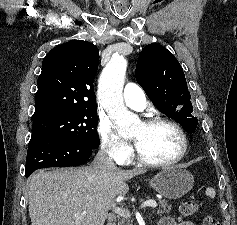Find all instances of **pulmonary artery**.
Instances as JSON below:
<instances>
[{"mask_svg": "<svg viewBox=\"0 0 237 225\" xmlns=\"http://www.w3.org/2000/svg\"><path fill=\"white\" fill-rule=\"evenodd\" d=\"M123 100L125 104L135 110H143L146 107V95L143 89L132 82L125 85L123 91Z\"/></svg>", "mask_w": 237, "mask_h": 225, "instance_id": "pulmonary-artery-1", "label": "pulmonary artery"}]
</instances>
